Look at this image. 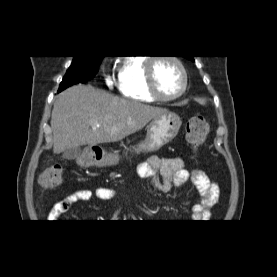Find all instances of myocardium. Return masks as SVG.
Returning a JSON list of instances; mask_svg holds the SVG:
<instances>
[{
    "mask_svg": "<svg viewBox=\"0 0 277 277\" xmlns=\"http://www.w3.org/2000/svg\"><path fill=\"white\" fill-rule=\"evenodd\" d=\"M160 59H166V60H170V61L174 62L178 66V68L181 72L183 85H182V88L180 89V91L173 96H164L159 92V90L157 88L155 75H154V65ZM145 73H146L147 89L150 92V94L153 95L157 100L165 101V102L173 101V100L180 98L187 91V88H188L187 70H186L183 62L174 55H164V56L150 58L146 63Z\"/></svg>",
    "mask_w": 277,
    "mask_h": 277,
    "instance_id": "f54148a6",
    "label": "myocardium"
}]
</instances>
